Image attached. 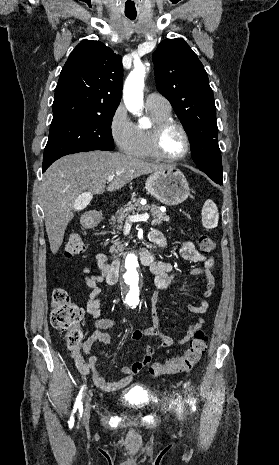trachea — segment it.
<instances>
[{"label": "trachea", "mask_w": 279, "mask_h": 465, "mask_svg": "<svg viewBox=\"0 0 279 465\" xmlns=\"http://www.w3.org/2000/svg\"><path fill=\"white\" fill-rule=\"evenodd\" d=\"M126 16L131 20H134L136 18V14H126Z\"/></svg>", "instance_id": "1"}]
</instances>
